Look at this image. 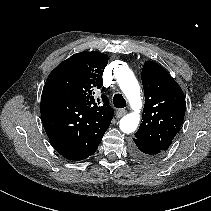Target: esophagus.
Wrapping results in <instances>:
<instances>
[{
    "label": "esophagus",
    "instance_id": "obj_1",
    "mask_svg": "<svg viewBox=\"0 0 211 211\" xmlns=\"http://www.w3.org/2000/svg\"><path fill=\"white\" fill-rule=\"evenodd\" d=\"M126 113H127L126 110H124V109H119V110H117V112H116V117H117V118H121V117L124 116Z\"/></svg>",
    "mask_w": 211,
    "mask_h": 211
}]
</instances>
